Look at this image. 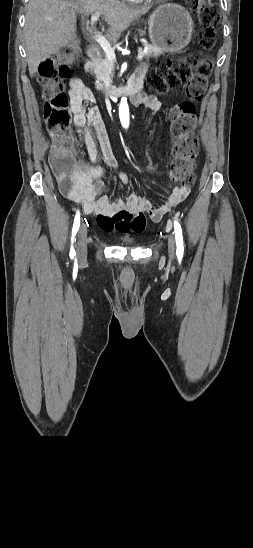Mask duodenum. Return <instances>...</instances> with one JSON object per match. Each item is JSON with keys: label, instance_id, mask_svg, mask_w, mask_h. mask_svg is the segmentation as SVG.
<instances>
[{"label": "duodenum", "instance_id": "1", "mask_svg": "<svg viewBox=\"0 0 253 548\" xmlns=\"http://www.w3.org/2000/svg\"><path fill=\"white\" fill-rule=\"evenodd\" d=\"M99 56V49L96 46H91L87 50V57L89 60H95ZM142 87V78L140 76L132 77L125 87H112L106 90V94L109 97H121V96H136Z\"/></svg>", "mask_w": 253, "mask_h": 548}]
</instances>
